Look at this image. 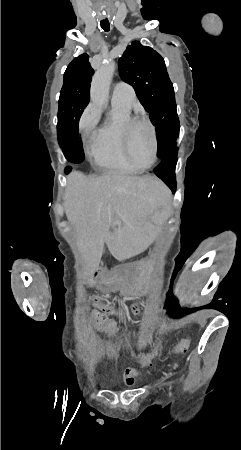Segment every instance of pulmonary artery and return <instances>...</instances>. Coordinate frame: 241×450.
Segmentation results:
<instances>
[{
  "label": "pulmonary artery",
  "instance_id": "pulmonary-artery-1",
  "mask_svg": "<svg viewBox=\"0 0 241 450\" xmlns=\"http://www.w3.org/2000/svg\"><path fill=\"white\" fill-rule=\"evenodd\" d=\"M134 99L133 90L130 86L126 85L124 88H120L119 85H117L112 93V101L117 102H124L129 105L132 104Z\"/></svg>",
  "mask_w": 241,
  "mask_h": 450
}]
</instances>
